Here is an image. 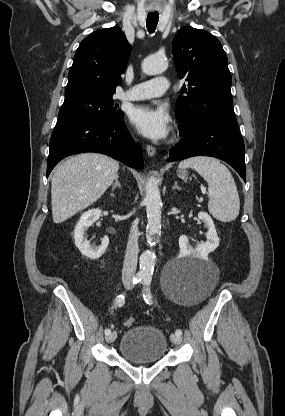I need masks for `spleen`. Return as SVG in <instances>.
Listing matches in <instances>:
<instances>
[{
	"label": "spleen",
	"mask_w": 285,
	"mask_h": 416,
	"mask_svg": "<svg viewBox=\"0 0 285 416\" xmlns=\"http://www.w3.org/2000/svg\"><path fill=\"white\" fill-rule=\"evenodd\" d=\"M179 168H193L208 184V210L219 222H233L240 210L236 184L226 166L216 158H188Z\"/></svg>",
	"instance_id": "3e777b00"
}]
</instances>
